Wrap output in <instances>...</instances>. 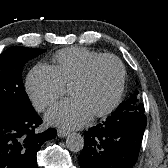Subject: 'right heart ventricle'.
<instances>
[{"mask_svg": "<svg viewBox=\"0 0 168 168\" xmlns=\"http://www.w3.org/2000/svg\"><path fill=\"white\" fill-rule=\"evenodd\" d=\"M100 55L102 53L84 47L62 49L54 56V67L64 85H70L85 66Z\"/></svg>", "mask_w": 168, "mask_h": 168, "instance_id": "obj_1", "label": "right heart ventricle"}]
</instances>
